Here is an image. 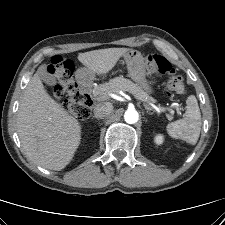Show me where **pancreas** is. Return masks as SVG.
Instances as JSON below:
<instances>
[{
    "label": "pancreas",
    "mask_w": 225,
    "mask_h": 225,
    "mask_svg": "<svg viewBox=\"0 0 225 225\" xmlns=\"http://www.w3.org/2000/svg\"><path fill=\"white\" fill-rule=\"evenodd\" d=\"M105 91L112 93H119L120 91H127L131 94H135L146 101H154L149 95L142 90L137 84L133 83L131 80L124 78L123 76L111 79L105 85H102L94 89L95 95L103 96Z\"/></svg>",
    "instance_id": "obj_1"
}]
</instances>
